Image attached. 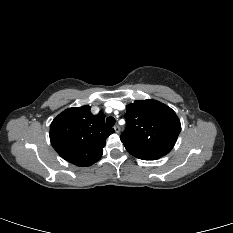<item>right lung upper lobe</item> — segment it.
Wrapping results in <instances>:
<instances>
[{
  "instance_id": "cb5924a9",
  "label": "right lung upper lobe",
  "mask_w": 233,
  "mask_h": 233,
  "mask_svg": "<svg viewBox=\"0 0 233 233\" xmlns=\"http://www.w3.org/2000/svg\"><path fill=\"white\" fill-rule=\"evenodd\" d=\"M91 107H72L51 123L50 141L56 152L76 166H90L103 154L106 138L114 132L104 123L105 115H93Z\"/></svg>"
}]
</instances>
